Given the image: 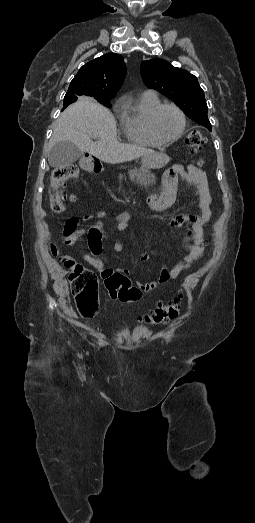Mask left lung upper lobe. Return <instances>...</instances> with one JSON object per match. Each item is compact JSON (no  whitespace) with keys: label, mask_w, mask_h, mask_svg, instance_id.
<instances>
[{"label":"left lung upper lobe","mask_w":255,"mask_h":523,"mask_svg":"<svg viewBox=\"0 0 255 523\" xmlns=\"http://www.w3.org/2000/svg\"><path fill=\"white\" fill-rule=\"evenodd\" d=\"M140 71L147 87L159 91L174 101L189 118L212 130L204 92L194 75L158 59L143 61Z\"/></svg>","instance_id":"obj_1"}]
</instances>
